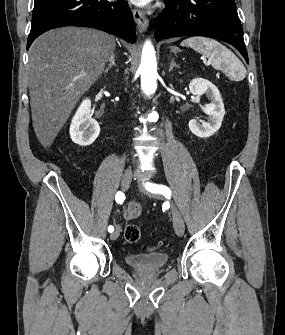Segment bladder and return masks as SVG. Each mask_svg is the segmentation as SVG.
I'll list each match as a JSON object with an SVG mask.
<instances>
[{"mask_svg":"<svg viewBox=\"0 0 285 335\" xmlns=\"http://www.w3.org/2000/svg\"><path fill=\"white\" fill-rule=\"evenodd\" d=\"M125 265H131V270L148 273L162 269V265L168 264L171 256L167 251H152L149 253L125 252Z\"/></svg>","mask_w":285,"mask_h":335,"instance_id":"obj_1","label":"bladder"}]
</instances>
